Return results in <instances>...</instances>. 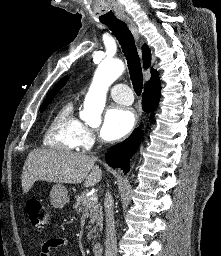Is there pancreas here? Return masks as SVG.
Here are the masks:
<instances>
[{
	"label": "pancreas",
	"instance_id": "obj_1",
	"mask_svg": "<svg viewBox=\"0 0 221 256\" xmlns=\"http://www.w3.org/2000/svg\"><path fill=\"white\" fill-rule=\"evenodd\" d=\"M76 202L74 204V208L78 213L88 212L90 217V224L88 226V239H96L98 237V232L102 230L103 224V213L102 206L97 202H93L89 200V197H86L85 193H81L80 195H76Z\"/></svg>",
	"mask_w": 221,
	"mask_h": 256
}]
</instances>
